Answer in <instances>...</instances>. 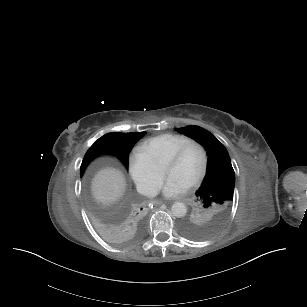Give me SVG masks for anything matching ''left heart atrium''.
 <instances>
[{
  "label": "left heart atrium",
  "mask_w": 307,
  "mask_h": 307,
  "mask_svg": "<svg viewBox=\"0 0 307 307\" xmlns=\"http://www.w3.org/2000/svg\"><path fill=\"white\" fill-rule=\"evenodd\" d=\"M188 191V184L173 175H167L161 181L156 182L152 187V192L161 193L168 198L177 197Z\"/></svg>",
  "instance_id": "left-heart-atrium-1"
}]
</instances>
